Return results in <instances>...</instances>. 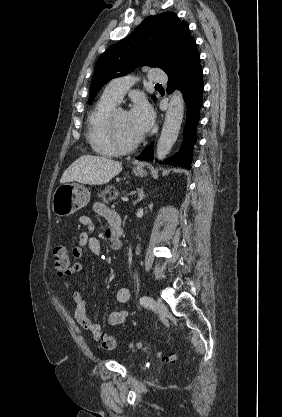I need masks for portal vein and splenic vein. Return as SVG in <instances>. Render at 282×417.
Instances as JSON below:
<instances>
[{
	"label": "portal vein and splenic vein",
	"instance_id": "18ae733b",
	"mask_svg": "<svg viewBox=\"0 0 282 417\" xmlns=\"http://www.w3.org/2000/svg\"><path fill=\"white\" fill-rule=\"evenodd\" d=\"M119 199H121L122 203H126L127 200H129V198H127V196H124V195L119 196Z\"/></svg>",
	"mask_w": 282,
	"mask_h": 417
}]
</instances>
